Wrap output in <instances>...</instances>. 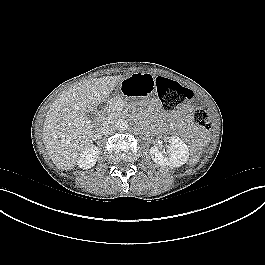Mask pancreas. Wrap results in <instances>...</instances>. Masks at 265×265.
<instances>
[{"mask_svg":"<svg viewBox=\"0 0 265 265\" xmlns=\"http://www.w3.org/2000/svg\"><path fill=\"white\" fill-rule=\"evenodd\" d=\"M120 101H124L120 96H116L110 100L108 113L111 118L122 116V108L118 105V102Z\"/></svg>","mask_w":265,"mask_h":265,"instance_id":"pancreas-1","label":"pancreas"}]
</instances>
